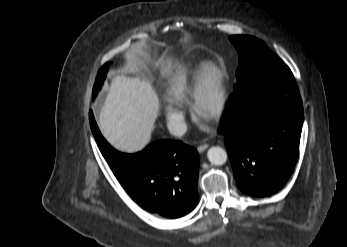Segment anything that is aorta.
<instances>
[{
    "mask_svg": "<svg viewBox=\"0 0 347 247\" xmlns=\"http://www.w3.org/2000/svg\"><path fill=\"white\" fill-rule=\"evenodd\" d=\"M207 157L212 164L223 165L226 163L228 155L223 148L219 146H212L207 151Z\"/></svg>",
    "mask_w": 347,
    "mask_h": 247,
    "instance_id": "1",
    "label": "aorta"
}]
</instances>
